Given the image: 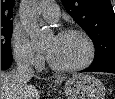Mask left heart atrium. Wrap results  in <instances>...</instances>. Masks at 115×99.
I'll list each match as a JSON object with an SVG mask.
<instances>
[{"label":"left heart atrium","instance_id":"1","mask_svg":"<svg viewBox=\"0 0 115 99\" xmlns=\"http://www.w3.org/2000/svg\"><path fill=\"white\" fill-rule=\"evenodd\" d=\"M46 54H47L48 57L50 56V54H51V47L47 48Z\"/></svg>","mask_w":115,"mask_h":99}]
</instances>
